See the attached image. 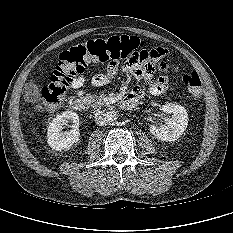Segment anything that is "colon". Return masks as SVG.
<instances>
[{
	"label": "colon",
	"instance_id": "1",
	"mask_svg": "<svg viewBox=\"0 0 233 233\" xmlns=\"http://www.w3.org/2000/svg\"><path fill=\"white\" fill-rule=\"evenodd\" d=\"M142 47L143 42L138 37L121 35L90 39L68 48L60 54L50 83L40 91V106L57 107L74 79L82 74L90 63L119 61L122 56ZM182 80L195 99L202 98V81L197 72L188 71Z\"/></svg>",
	"mask_w": 233,
	"mask_h": 233
}]
</instances>
